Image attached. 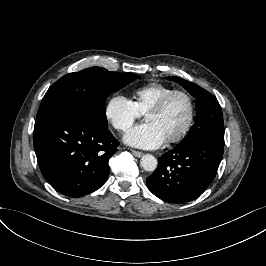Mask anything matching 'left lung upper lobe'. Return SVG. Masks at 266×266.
<instances>
[{
  "label": "left lung upper lobe",
  "instance_id": "5c2ea615",
  "mask_svg": "<svg viewBox=\"0 0 266 266\" xmlns=\"http://www.w3.org/2000/svg\"><path fill=\"white\" fill-rule=\"evenodd\" d=\"M166 79L176 81L196 98L195 124L177 146H184L206 137L224 139L222 110L217 99L200 86L180 77H167Z\"/></svg>",
  "mask_w": 266,
  "mask_h": 266
}]
</instances>
